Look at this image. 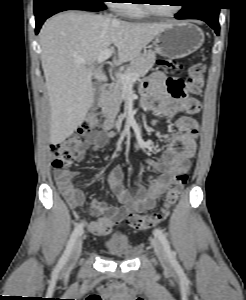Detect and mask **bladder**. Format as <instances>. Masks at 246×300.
<instances>
[{
  "label": "bladder",
  "instance_id": "1",
  "mask_svg": "<svg viewBox=\"0 0 246 300\" xmlns=\"http://www.w3.org/2000/svg\"><path fill=\"white\" fill-rule=\"evenodd\" d=\"M107 251L115 256L131 259L135 255V249L131 245L128 235L122 231L113 232L104 241Z\"/></svg>",
  "mask_w": 246,
  "mask_h": 300
}]
</instances>
